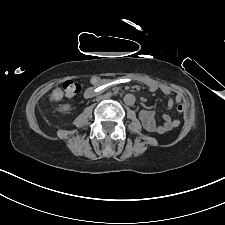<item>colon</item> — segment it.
<instances>
[{"label": "colon", "instance_id": "colon-1", "mask_svg": "<svg viewBox=\"0 0 225 225\" xmlns=\"http://www.w3.org/2000/svg\"><path fill=\"white\" fill-rule=\"evenodd\" d=\"M91 83L94 85H100L103 83V80L100 77H93L91 79ZM80 92V85L75 81H66L61 86L56 87L50 94V100L53 102L62 101L63 98L73 97ZM184 106L183 104L177 105V111L183 112Z\"/></svg>", "mask_w": 225, "mask_h": 225}]
</instances>
